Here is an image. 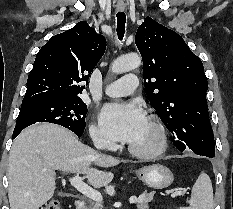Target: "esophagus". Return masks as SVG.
<instances>
[{"label":"esophagus","mask_w":233,"mask_h":209,"mask_svg":"<svg viewBox=\"0 0 233 209\" xmlns=\"http://www.w3.org/2000/svg\"><path fill=\"white\" fill-rule=\"evenodd\" d=\"M117 8H118V10L122 11V10H124L125 6L121 4V5H118Z\"/></svg>","instance_id":"34e87169"}]
</instances>
